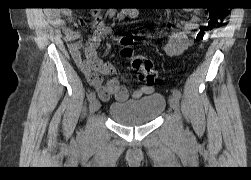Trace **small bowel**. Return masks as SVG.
<instances>
[{"instance_id": "1", "label": "small bowel", "mask_w": 251, "mask_h": 180, "mask_svg": "<svg viewBox=\"0 0 251 180\" xmlns=\"http://www.w3.org/2000/svg\"><path fill=\"white\" fill-rule=\"evenodd\" d=\"M137 14L136 9H124L118 14V18L120 20L135 18ZM66 17L73 18L68 11L52 14L53 23L60 27L64 33L72 58L102 100L106 101L114 97L117 101L123 102L128 98L139 99L153 92V85L148 84H143L139 88L128 91L114 77L104 82L102 77L113 74L114 69L112 65L101 61L97 57L96 51L101 40L111 33V28L100 21L93 36L85 44L84 57H82L80 53V34L66 26ZM200 22L201 15L198 11H195L190 20L185 22L180 30L170 33L166 44L163 46L164 53L169 57L181 56L191 46L190 34L199 26Z\"/></svg>"}]
</instances>
